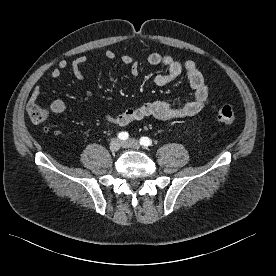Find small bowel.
<instances>
[{"label": "small bowel", "instance_id": "c3829d8e", "mask_svg": "<svg viewBox=\"0 0 276 276\" xmlns=\"http://www.w3.org/2000/svg\"><path fill=\"white\" fill-rule=\"evenodd\" d=\"M104 56L107 60H113L115 59L116 54L112 50H106ZM86 62L87 57L85 55H79L71 61L72 71L78 81L85 80L83 67L85 66ZM147 62L150 65H163L166 67V73L157 74L154 77L155 85L160 87L171 83L182 73H185L187 80L194 91L193 97L178 107H174L165 101H154L146 103L138 108L128 109L117 116L106 115V122L119 126H125L146 117H154L160 120L178 119L196 115L207 105L209 102V89L194 61L188 60L184 63H181L170 55L151 53L147 57ZM121 63L130 68V73L132 76H139V65L132 56L123 55L121 57ZM68 66L69 62L67 60H60L57 67L52 69L50 72L51 80L58 79L61 76L62 71L65 70ZM40 93V86L36 85L30 94V101H37L39 99ZM51 110L55 114H62L66 111V104L63 100L56 99L51 103Z\"/></svg>", "mask_w": 276, "mask_h": 276}]
</instances>
